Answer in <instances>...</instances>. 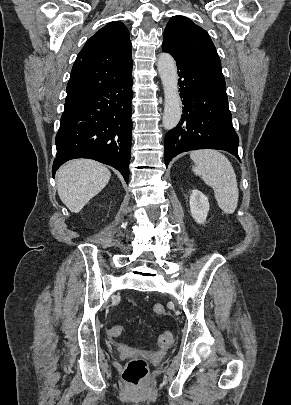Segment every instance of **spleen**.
I'll return each mask as SVG.
<instances>
[{"instance_id":"3e777b00","label":"spleen","mask_w":291,"mask_h":405,"mask_svg":"<svg viewBox=\"0 0 291 405\" xmlns=\"http://www.w3.org/2000/svg\"><path fill=\"white\" fill-rule=\"evenodd\" d=\"M190 156L195 164L193 172L213 188L219 208L227 214L234 213L239 190L230 161L216 150H198Z\"/></svg>"}]
</instances>
